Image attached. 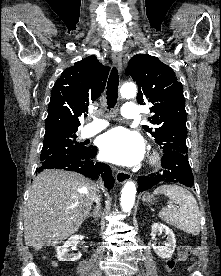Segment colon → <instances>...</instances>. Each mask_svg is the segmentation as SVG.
I'll use <instances>...</instances> for the list:
<instances>
[{
  "label": "colon",
  "mask_w": 221,
  "mask_h": 276,
  "mask_svg": "<svg viewBox=\"0 0 221 276\" xmlns=\"http://www.w3.org/2000/svg\"><path fill=\"white\" fill-rule=\"evenodd\" d=\"M191 254V247L188 245H183L178 250V258L177 262H184L187 260V258ZM176 264V261L170 260L166 262V269L167 271H172L174 266Z\"/></svg>",
  "instance_id": "5ec220e1"
}]
</instances>
